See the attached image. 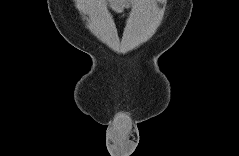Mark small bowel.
I'll return each mask as SVG.
<instances>
[{
    "instance_id": "small-bowel-1",
    "label": "small bowel",
    "mask_w": 239,
    "mask_h": 156,
    "mask_svg": "<svg viewBox=\"0 0 239 156\" xmlns=\"http://www.w3.org/2000/svg\"><path fill=\"white\" fill-rule=\"evenodd\" d=\"M109 8L116 13H123L126 9L135 8L139 6V1H129V0H111L106 2Z\"/></svg>"
}]
</instances>
